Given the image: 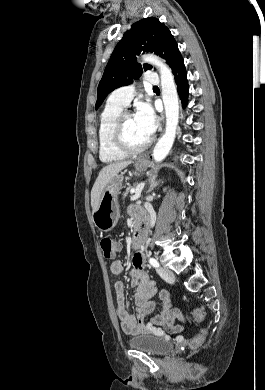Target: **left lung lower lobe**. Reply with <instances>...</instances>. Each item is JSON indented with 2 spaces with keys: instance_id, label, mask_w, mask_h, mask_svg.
<instances>
[{
  "instance_id": "obj_1",
  "label": "left lung lower lobe",
  "mask_w": 265,
  "mask_h": 390,
  "mask_svg": "<svg viewBox=\"0 0 265 390\" xmlns=\"http://www.w3.org/2000/svg\"><path fill=\"white\" fill-rule=\"evenodd\" d=\"M172 73L175 76V82L177 84L178 94L181 98L182 105L185 107L188 101V81H187V73L184 66V60L179 54L173 64L171 65Z\"/></svg>"
}]
</instances>
